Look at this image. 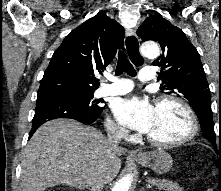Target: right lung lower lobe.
Returning a JSON list of instances; mask_svg holds the SVG:
<instances>
[{
  "mask_svg": "<svg viewBox=\"0 0 221 191\" xmlns=\"http://www.w3.org/2000/svg\"><path fill=\"white\" fill-rule=\"evenodd\" d=\"M99 114H86L67 96L61 94H41L37 96L35 115L29 138L45 122L57 118L75 119L83 124H91Z\"/></svg>",
  "mask_w": 221,
  "mask_h": 191,
  "instance_id": "98d812e1",
  "label": "right lung lower lobe"
}]
</instances>
